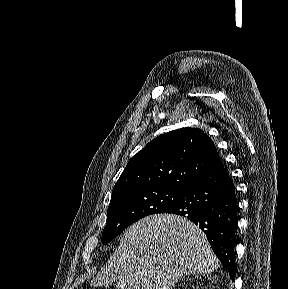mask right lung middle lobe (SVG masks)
Segmentation results:
<instances>
[{
    "label": "right lung middle lobe",
    "mask_w": 288,
    "mask_h": 289,
    "mask_svg": "<svg viewBox=\"0 0 288 289\" xmlns=\"http://www.w3.org/2000/svg\"><path fill=\"white\" fill-rule=\"evenodd\" d=\"M185 189L158 187L132 189L111 196L102 243L107 244L126 227L155 213H164L183 196Z\"/></svg>",
    "instance_id": "1"
}]
</instances>
